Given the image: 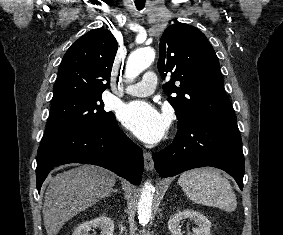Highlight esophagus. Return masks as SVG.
<instances>
[{
  "label": "esophagus",
  "mask_w": 283,
  "mask_h": 235,
  "mask_svg": "<svg viewBox=\"0 0 283 235\" xmlns=\"http://www.w3.org/2000/svg\"><path fill=\"white\" fill-rule=\"evenodd\" d=\"M144 167L147 171H152L154 169L152 154L147 151L144 152Z\"/></svg>",
  "instance_id": "esophagus-1"
}]
</instances>
